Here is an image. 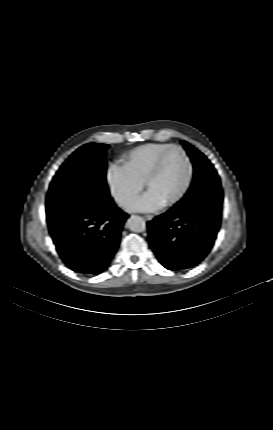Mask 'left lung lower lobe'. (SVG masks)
Wrapping results in <instances>:
<instances>
[{
  "instance_id": "0a47b994",
  "label": "left lung lower lobe",
  "mask_w": 273,
  "mask_h": 430,
  "mask_svg": "<svg viewBox=\"0 0 273 430\" xmlns=\"http://www.w3.org/2000/svg\"><path fill=\"white\" fill-rule=\"evenodd\" d=\"M222 202L220 184L208 183L147 223L150 247L165 268L189 269L207 256L219 231Z\"/></svg>"
}]
</instances>
